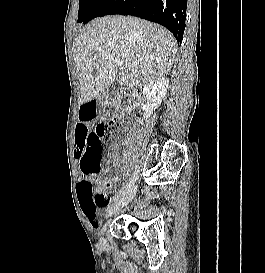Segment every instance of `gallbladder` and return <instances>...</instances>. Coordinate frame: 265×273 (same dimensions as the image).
<instances>
[{"label":"gallbladder","mask_w":265,"mask_h":273,"mask_svg":"<svg viewBox=\"0 0 265 273\" xmlns=\"http://www.w3.org/2000/svg\"><path fill=\"white\" fill-rule=\"evenodd\" d=\"M119 95V83L114 82L110 87H109V93L107 95V98L109 100H115Z\"/></svg>","instance_id":"1"}]
</instances>
